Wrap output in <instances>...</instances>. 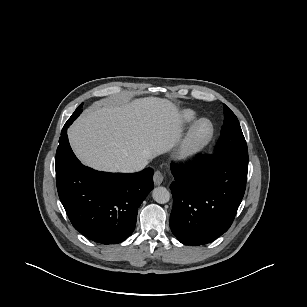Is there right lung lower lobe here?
Segmentation results:
<instances>
[{"mask_svg": "<svg viewBox=\"0 0 307 307\" xmlns=\"http://www.w3.org/2000/svg\"><path fill=\"white\" fill-rule=\"evenodd\" d=\"M65 124L56 152L58 195L74 228L102 244H117L134 231L137 211L153 189V170L107 173L81 164Z\"/></svg>", "mask_w": 307, "mask_h": 307, "instance_id": "obj_1", "label": "right lung lower lobe"}]
</instances>
